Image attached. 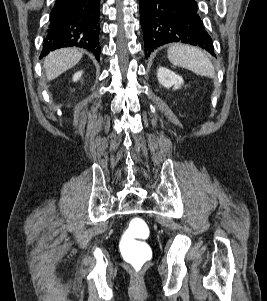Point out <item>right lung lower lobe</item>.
<instances>
[{
	"label": "right lung lower lobe",
	"instance_id": "1",
	"mask_svg": "<svg viewBox=\"0 0 267 301\" xmlns=\"http://www.w3.org/2000/svg\"><path fill=\"white\" fill-rule=\"evenodd\" d=\"M99 16V0H56L40 58L57 48L76 46L93 52L99 61Z\"/></svg>",
	"mask_w": 267,
	"mask_h": 301
}]
</instances>
